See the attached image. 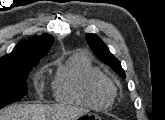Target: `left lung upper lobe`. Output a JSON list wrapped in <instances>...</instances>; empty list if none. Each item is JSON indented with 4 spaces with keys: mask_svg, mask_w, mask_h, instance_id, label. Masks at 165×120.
Wrapping results in <instances>:
<instances>
[{
    "mask_svg": "<svg viewBox=\"0 0 165 120\" xmlns=\"http://www.w3.org/2000/svg\"><path fill=\"white\" fill-rule=\"evenodd\" d=\"M86 39L91 50L99 59L103 60L120 76L125 77V73L121 67V63L110 53L108 47L98 36L93 34H86Z\"/></svg>",
    "mask_w": 165,
    "mask_h": 120,
    "instance_id": "5c2ea615",
    "label": "left lung upper lobe"
}]
</instances>
